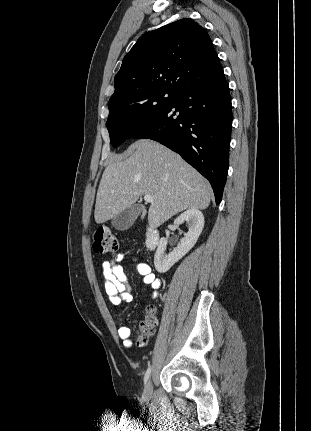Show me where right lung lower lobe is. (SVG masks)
Wrapping results in <instances>:
<instances>
[{
    "mask_svg": "<svg viewBox=\"0 0 311 431\" xmlns=\"http://www.w3.org/2000/svg\"><path fill=\"white\" fill-rule=\"evenodd\" d=\"M232 107L224 72L186 87L175 101L131 138H148L179 153L222 199L229 167Z\"/></svg>",
    "mask_w": 311,
    "mask_h": 431,
    "instance_id": "98d812e1",
    "label": "right lung lower lobe"
}]
</instances>
